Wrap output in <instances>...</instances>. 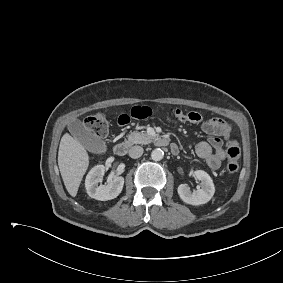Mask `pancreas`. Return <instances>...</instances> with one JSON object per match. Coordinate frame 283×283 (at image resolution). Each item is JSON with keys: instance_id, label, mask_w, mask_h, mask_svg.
I'll list each match as a JSON object with an SVG mask.
<instances>
[{"instance_id": "cf45deb5", "label": "pancreas", "mask_w": 283, "mask_h": 283, "mask_svg": "<svg viewBox=\"0 0 283 283\" xmlns=\"http://www.w3.org/2000/svg\"><path fill=\"white\" fill-rule=\"evenodd\" d=\"M127 140H125V144L133 145V144H148L152 141V137L148 134L142 132H131L127 135Z\"/></svg>"}]
</instances>
